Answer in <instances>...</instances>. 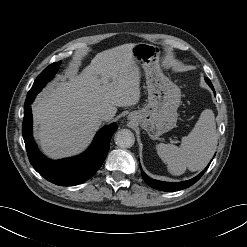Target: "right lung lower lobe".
Listing matches in <instances>:
<instances>
[{
    "label": "right lung lower lobe",
    "instance_id": "right-lung-lower-lobe-1",
    "mask_svg": "<svg viewBox=\"0 0 247 247\" xmlns=\"http://www.w3.org/2000/svg\"><path fill=\"white\" fill-rule=\"evenodd\" d=\"M39 91L30 90L24 105L23 138L29 161L34 169L48 181L60 186H73L90 179L103 164L109 151L112 135L118 126L113 123L103 127L91 147L82 155L63 160H49L35 145L32 137L31 103Z\"/></svg>",
    "mask_w": 247,
    "mask_h": 247
}]
</instances>
